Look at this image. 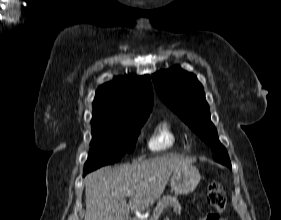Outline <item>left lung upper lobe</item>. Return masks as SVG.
Masks as SVG:
<instances>
[{
	"mask_svg": "<svg viewBox=\"0 0 281 220\" xmlns=\"http://www.w3.org/2000/svg\"><path fill=\"white\" fill-rule=\"evenodd\" d=\"M152 80L161 100L211 147L214 160L231 168L227 151L210 120L203 87L196 76L174 66L153 74Z\"/></svg>",
	"mask_w": 281,
	"mask_h": 220,
	"instance_id": "left-lung-upper-lobe-1",
	"label": "left lung upper lobe"
}]
</instances>
